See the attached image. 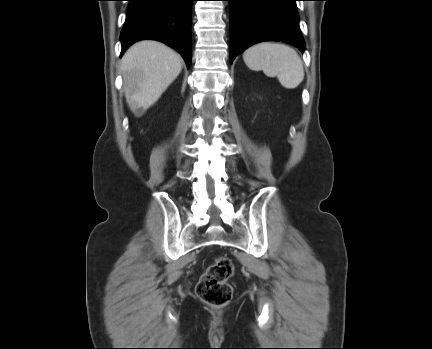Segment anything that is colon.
Instances as JSON below:
<instances>
[{"mask_svg": "<svg viewBox=\"0 0 432 349\" xmlns=\"http://www.w3.org/2000/svg\"><path fill=\"white\" fill-rule=\"evenodd\" d=\"M234 273V265L226 256L217 257L199 280L196 293L205 303L213 307L227 305L233 294L228 280Z\"/></svg>", "mask_w": 432, "mask_h": 349, "instance_id": "colon-1", "label": "colon"}]
</instances>
